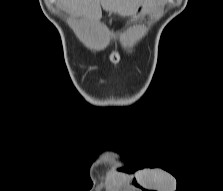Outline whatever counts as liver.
Wrapping results in <instances>:
<instances>
[{"label":"liver","mask_w":223,"mask_h":191,"mask_svg":"<svg viewBox=\"0 0 223 191\" xmlns=\"http://www.w3.org/2000/svg\"><path fill=\"white\" fill-rule=\"evenodd\" d=\"M141 0H61L66 11L98 22L102 17L101 5L105 11L121 16L131 15Z\"/></svg>","instance_id":"6515ba94"}]
</instances>
